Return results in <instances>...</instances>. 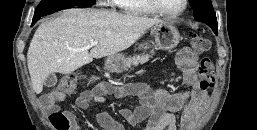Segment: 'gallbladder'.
<instances>
[{"instance_id":"1","label":"gallbladder","mask_w":257,"mask_h":130,"mask_svg":"<svg viewBox=\"0 0 257 130\" xmlns=\"http://www.w3.org/2000/svg\"><path fill=\"white\" fill-rule=\"evenodd\" d=\"M57 76H56V74H50L47 78H46V80H45V82H44V85L46 86V87H48V88H50V87H53V86H55L56 84H57Z\"/></svg>"}]
</instances>
